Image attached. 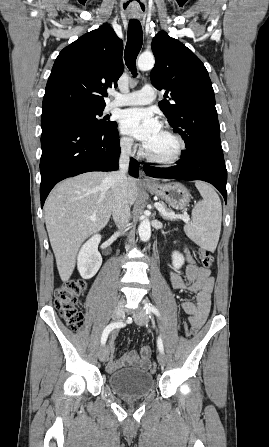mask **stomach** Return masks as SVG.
I'll return each instance as SVG.
<instances>
[{
  "instance_id": "1",
  "label": "stomach",
  "mask_w": 269,
  "mask_h": 447,
  "mask_svg": "<svg viewBox=\"0 0 269 447\" xmlns=\"http://www.w3.org/2000/svg\"><path fill=\"white\" fill-rule=\"evenodd\" d=\"M154 196H159L176 210H184L190 202V194L182 184H152L147 188Z\"/></svg>"
}]
</instances>
